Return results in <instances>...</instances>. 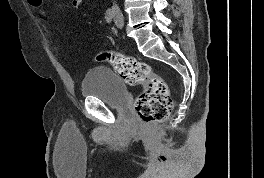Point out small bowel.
<instances>
[{
    "label": "small bowel",
    "mask_w": 264,
    "mask_h": 178,
    "mask_svg": "<svg viewBox=\"0 0 264 178\" xmlns=\"http://www.w3.org/2000/svg\"><path fill=\"white\" fill-rule=\"evenodd\" d=\"M84 2H85V0H70V4H71L72 8H74V9H79ZM30 5L32 6V4H30Z\"/></svg>",
    "instance_id": "1"
}]
</instances>
